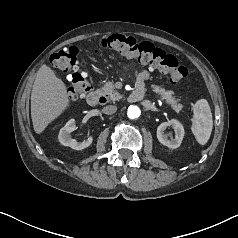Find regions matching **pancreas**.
I'll use <instances>...</instances> for the list:
<instances>
[{
  "instance_id": "1",
  "label": "pancreas",
  "mask_w": 238,
  "mask_h": 238,
  "mask_svg": "<svg viewBox=\"0 0 238 238\" xmlns=\"http://www.w3.org/2000/svg\"><path fill=\"white\" fill-rule=\"evenodd\" d=\"M152 91L157 95H160L163 100H166L168 104L176 111L179 112L182 109V105L177 103L178 101L173 98V92L167 91L161 86L151 85ZM101 94L108 96V98L112 101H117L122 98V95L115 89V84L113 81H108L105 83L101 90Z\"/></svg>"
}]
</instances>
